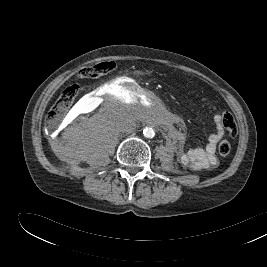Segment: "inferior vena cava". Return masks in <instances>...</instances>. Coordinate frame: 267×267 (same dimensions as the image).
<instances>
[{
	"label": "inferior vena cava",
	"instance_id": "602c4592",
	"mask_svg": "<svg viewBox=\"0 0 267 267\" xmlns=\"http://www.w3.org/2000/svg\"><path fill=\"white\" fill-rule=\"evenodd\" d=\"M135 122L129 118H122L116 123V128L120 132L131 133L135 129Z\"/></svg>",
	"mask_w": 267,
	"mask_h": 267
}]
</instances>
